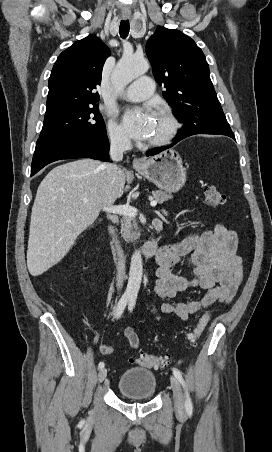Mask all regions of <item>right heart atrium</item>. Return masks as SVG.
<instances>
[{
  "label": "right heart atrium",
  "mask_w": 272,
  "mask_h": 452,
  "mask_svg": "<svg viewBox=\"0 0 272 452\" xmlns=\"http://www.w3.org/2000/svg\"><path fill=\"white\" fill-rule=\"evenodd\" d=\"M107 133L112 144L118 147H127L129 144V137L125 130L115 121L109 120L107 122Z\"/></svg>",
  "instance_id": "d8ad5b80"
}]
</instances>
